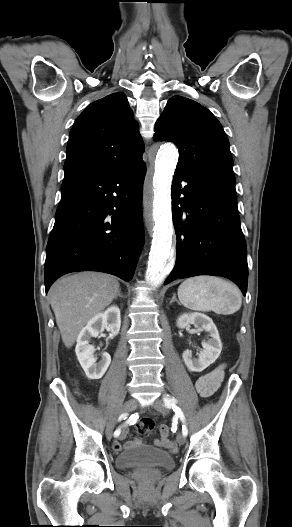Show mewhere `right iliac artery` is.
I'll use <instances>...</instances> for the list:
<instances>
[{
	"label": "right iliac artery",
	"instance_id": "1",
	"mask_svg": "<svg viewBox=\"0 0 292 527\" xmlns=\"http://www.w3.org/2000/svg\"><path fill=\"white\" fill-rule=\"evenodd\" d=\"M137 419H138L137 414L136 413H132V416L129 418V420H125L124 421V424H122V427L126 426V428H132V426H136ZM118 420H119V418H118ZM120 429H121V426H118V429L114 432V436L115 437L120 435V432H121Z\"/></svg>",
	"mask_w": 292,
	"mask_h": 527
}]
</instances>
